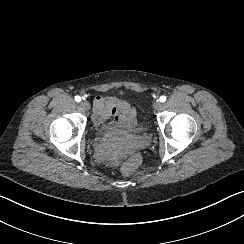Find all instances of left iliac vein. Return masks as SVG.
I'll list each match as a JSON object with an SVG mask.
<instances>
[{
    "mask_svg": "<svg viewBox=\"0 0 244 244\" xmlns=\"http://www.w3.org/2000/svg\"><path fill=\"white\" fill-rule=\"evenodd\" d=\"M162 106L163 105L160 102L156 101V102L153 103V109L154 110H160L162 108Z\"/></svg>",
    "mask_w": 244,
    "mask_h": 244,
    "instance_id": "obj_1",
    "label": "left iliac vein"
}]
</instances>
